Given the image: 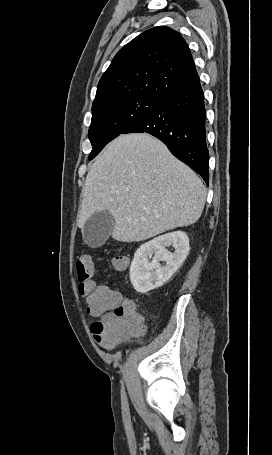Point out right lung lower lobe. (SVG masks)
Masks as SVG:
<instances>
[{
	"label": "right lung lower lobe",
	"instance_id": "98d812e1",
	"mask_svg": "<svg viewBox=\"0 0 272 455\" xmlns=\"http://www.w3.org/2000/svg\"><path fill=\"white\" fill-rule=\"evenodd\" d=\"M205 121L204 94L198 79L165 98L157 109L122 134L146 132L157 137L175 157L199 173L208 185Z\"/></svg>",
	"mask_w": 272,
	"mask_h": 455
}]
</instances>
